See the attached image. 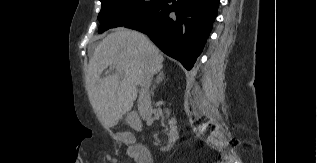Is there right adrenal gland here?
I'll return each instance as SVG.
<instances>
[{
	"instance_id": "obj_1",
	"label": "right adrenal gland",
	"mask_w": 317,
	"mask_h": 163,
	"mask_svg": "<svg viewBox=\"0 0 317 163\" xmlns=\"http://www.w3.org/2000/svg\"><path fill=\"white\" fill-rule=\"evenodd\" d=\"M165 76H164V72L160 71L157 78L155 79L153 86L151 88V94L154 95V90L156 88V84H159L160 82H162L164 80Z\"/></svg>"
}]
</instances>
